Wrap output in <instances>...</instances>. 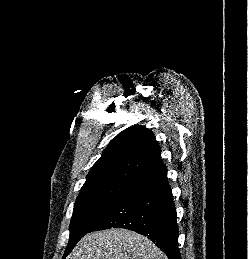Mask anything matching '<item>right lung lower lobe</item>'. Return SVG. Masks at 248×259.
<instances>
[{"mask_svg":"<svg viewBox=\"0 0 248 259\" xmlns=\"http://www.w3.org/2000/svg\"><path fill=\"white\" fill-rule=\"evenodd\" d=\"M110 228H125L147 236L168 259H181L166 168L131 185L90 232Z\"/></svg>","mask_w":248,"mask_h":259,"instance_id":"1","label":"right lung lower lobe"}]
</instances>
